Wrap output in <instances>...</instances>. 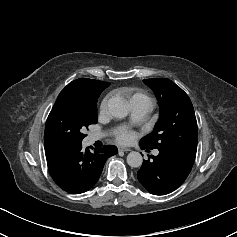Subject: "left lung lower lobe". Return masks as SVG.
Masks as SVG:
<instances>
[{
	"label": "left lung lower lobe",
	"mask_w": 237,
	"mask_h": 237,
	"mask_svg": "<svg viewBox=\"0 0 237 237\" xmlns=\"http://www.w3.org/2000/svg\"><path fill=\"white\" fill-rule=\"evenodd\" d=\"M142 149L146 147L140 144ZM196 153L159 151L152 160H144L137 172L140 183L154 195H165L177 189L189 175Z\"/></svg>",
	"instance_id": "1"
}]
</instances>
